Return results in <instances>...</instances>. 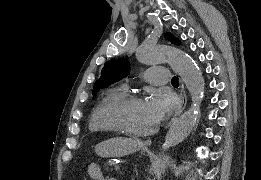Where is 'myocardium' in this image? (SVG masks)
Listing matches in <instances>:
<instances>
[{"label": "myocardium", "mask_w": 261, "mask_h": 180, "mask_svg": "<svg viewBox=\"0 0 261 180\" xmlns=\"http://www.w3.org/2000/svg\"><path fill=\"white\" fill-rule=\"evenodd\" d=\"M140 99H142V95L139 93H135V92L126 93L111 107V109L109 110V117H110V121H111L115 136H127L132 139H151L157 134L159 127H160L159 120L157 121L156 125L150 132H148L147 134H145L143 136L138 137V136L127 135L125 133V131L123 130V127H122L120 121L116 117V113L118 110H120L126 106H129L134 101H137Z\"/></svg>", "instance_id": "f54148a6"}]
</instances>
